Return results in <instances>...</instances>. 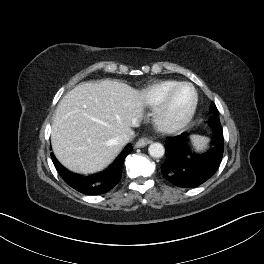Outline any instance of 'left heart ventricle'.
Instances as JSON below:
<instances>
[{
	"label": "left heart ventricle",
	"mask_w": 264,
	"mask_h": 264,
	"mask_svg": "<svg viewBox=\"0 0 264 264\" xmlns=\"http://www.w3.org/2000/svg\"><path fill=\"white\" fill-rule=\"evenodd\" d=\"M192 101V91L189 87H182L174 96L171 109V117L180 118Z\"/></svg>",
	"instance_id": "obj_1"
}]
</instances>
